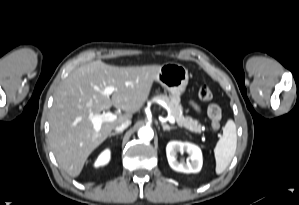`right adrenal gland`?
<instances>
[{
    "label": "right adrenal gland",
    "instance_id": "1",
    "mask_svg": "<svg viewBox=\"0 0 299 205\" xmlns=\"http://www.w3.org/2000/svg\"><path fill=\"white\" fill-rule=\"evenodd\" d=\"M122 132H113V133H110L109 137L111 138L112 136H115V135H118V134H121Z\"/></svg>",
    "mask_w": 299,
    "mask_h": 205
}]
</instances>
